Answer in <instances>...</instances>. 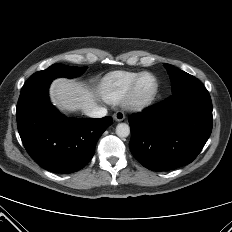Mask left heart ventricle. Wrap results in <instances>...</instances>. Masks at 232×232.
Here are the masks:
<instances>
[{"instance_id":"b2bd125f","label":"left heart ventricle","mask_w":232,"mask_h":232,"mask_svg":"<svg viewBox=\"0 0 232 232\" xmlns=\"http://www.w3.org/2000/svg\"><path fill=\"white\" fill-rule=\"evenodd\" d=\"M152 87V80L149 77H144L139 85V92L146 94Z\"/></svg>"}]
</instances>
